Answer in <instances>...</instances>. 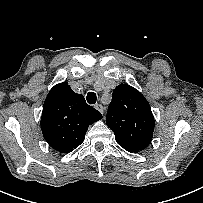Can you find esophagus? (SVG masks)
I'll list each match as a JSON object with an SVG mask.
<instances>
[{"mask_svg":"<svg viewBox=\"0 0 203 203\" xmlns=\"http://www.w3.org/2000/svg\"><path fill=\"white\" fill-rule=\"evenodd\" d=\"M95 108H96L101 114H103L104 108H103V106H102L101 104H96V105H95Z\"/></svg>","mask_w":203,"mask_h":203,"instance_id":"obj_1","label":"esophagus"}]
</instances>
